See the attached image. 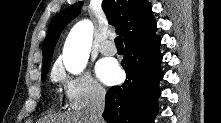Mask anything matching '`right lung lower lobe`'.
<instances>
[{"label": "right lung lower lobe", "mask_w": 221, "mask_h": 123, "mask_svg": "<svg viewBox=\"0 0 221 123\" xmlns=\"http://www.w3.org/2000/svg\"><path fill=\"white\" fill-rule=\"evenodd\" d=\"M155 31L125 44L121 64L127 79L106 94L103 117L108 123H154L160 96L158 84L163 77L161 39Z\"/></svg>", "instance_id": "1"}]
</instances>
